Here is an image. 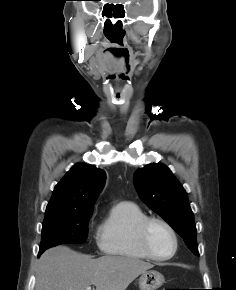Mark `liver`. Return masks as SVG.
I'll list each match as a JSON object with an SVG mask.
<instances>
[{"label":"liver","mask_w":236,"mask_h":290,"mask_svg":"<svg viewBox=\"0 0 236 290\" xmlns=\"http://www.w3.org/2000/svg\"><path fill=\"white\" fill-rule=\"evenodd\" d=\"M152 267L132 257L92 259L66 246H57L41 255L36 267L35 290H86L91 285L96 290H125Z\"/></svg>","instance_id":"6515ba94"}]
</instances>
